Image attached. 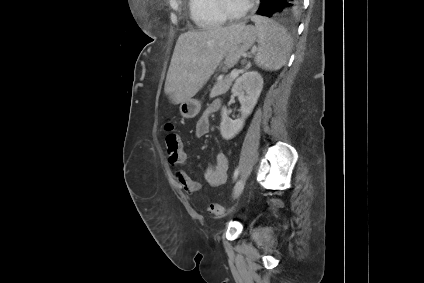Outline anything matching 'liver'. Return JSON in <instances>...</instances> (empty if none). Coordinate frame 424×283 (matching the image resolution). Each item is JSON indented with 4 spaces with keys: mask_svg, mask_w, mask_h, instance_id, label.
Masks as SVG:
<instances>
[{
    "mask_svg": "<svg viewBox=\"0 0 424 283\" xmlns=\"http://www.w3.org/2000/svg\"><path fill=\"white\" fill-rule=\"evenodd\" d=\"M244 23L187 31L176 42L165 82V93L174 104L192 98L223 60Z\"/></svg>",
    "mask_w": 424,
    "mask_h": 283,
    "instance_id": "obj_1",
    "label": "liver"
}]
</instances>
